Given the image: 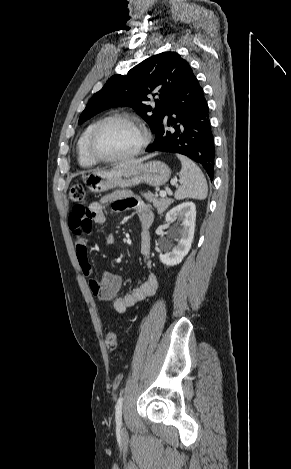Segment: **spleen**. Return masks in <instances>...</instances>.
<instances>
[{"instance_id": "obj_1", "label": "spleen", "mask_w": 291, "mask_h": 469, "mask_svg": "<svg viewBox=\"0 0 291 469\" xmlns=\"http://www.w3.org/2000/svg\"><path fill=\"white\" fill-rule=\"evenodd\" d=\"M181 161L182 168L179 177L182 185L175 192V198H193L204 200L208 194V186L204 174L200 168L185 156L177 155Z\"/></svg>"}]
</instances>
